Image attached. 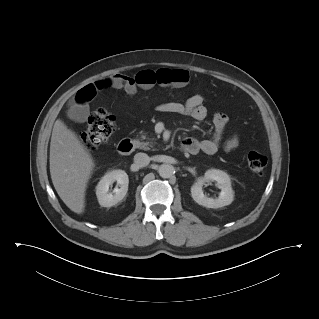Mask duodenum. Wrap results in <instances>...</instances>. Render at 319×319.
I'll list each match as a JSON object with an SVG mask.
<instances>
[{
  "instance_id": "duodenum-1",
  "label": "duodenum",
  "mask_w": 319,
  "mask_h": 319,
  "mask_svg": "<svg viewBox=\"0 0 319 319\" xmlns=\"http://www.w3.org/2000/svg\"><path fill=\"white\" fill-rule=\"evenodd\" d=\"M134 147L133 141L131 139H123L118 144L119 153L126 155L132 151ZM182 150L188 152V149L185 145H182Z\"/></svg>"
}]
</instances>
